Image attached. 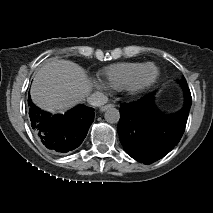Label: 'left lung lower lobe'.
<instances>
[{"label":"left lung lower lobe","instance_id":"obj_1","mask_svg":"<svg viewBox=\"0 0 213 213\" xmlns=\"http://www.w3.org/2000/svg\"><path fill=\"white\" fill-rule=\"evenodd\" d=\"M181 85L185 104L173 115L163 114L156 108L153 93L137 102L121 104L117 131L124 150L132 158L150 164L177 145L184 133L192 103L187 82L183 81Z\"/></svg>","mask_w":213,"mask_h":213}]
</instances>
